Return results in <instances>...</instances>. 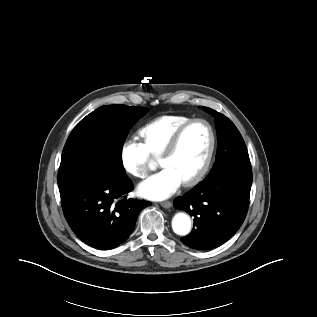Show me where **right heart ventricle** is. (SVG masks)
Returning <instances> with one entry per match:
<instances>
[{"mask_svg":"<svg viewBox=\"0 0 317 317\" xmlns=\"http://www.w3.org/2000/svg\"><path fill=\"white\" fill-rule=\"evenodd\" d=\"M189 120L183 115H164L144 125L139 134L150 155L160 157L175 132Z\"/></svg>","mask_w":317,"mask_h":317,"instance_id":"obj_1","label":"right heart ventricle"}]
</instances>
